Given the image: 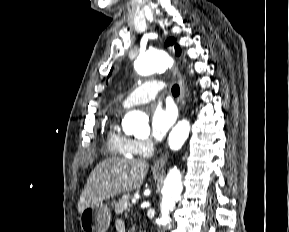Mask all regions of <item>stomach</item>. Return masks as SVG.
Wrapping results in <instances>:
<instances>
[{
	"mask_svg": "<svg viewBox=\"0 0 289 232\" xmlns=\"http://www.w3.org/2000/svg\"><path fill=\"white\" fill-rule=\"evenodd\" d=\"M83 232H106L111 221V212L104 203L91 204L86 207L79 217Z\"/></svg>",
	"mask_w": 289,
	"mask_h": 232,
	"instance_id": "0dacf381",
	"label": "stomach"
}]
</instances>
